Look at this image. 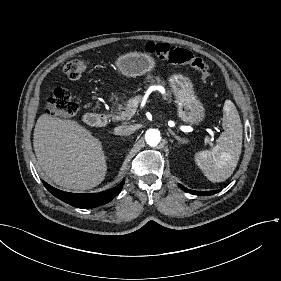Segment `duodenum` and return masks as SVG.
I'll list each match as a JSON object with an SVG mask.
<instances>
[{"mask_svg":"<svg viewBox=\"0 0 281 281\" xmlns=\"http://www.w3.org/2000/svg\"><path fill=\"white\" fill-rule=\"evenodd\" d=\"M83 120L86 124L90 126H100L106 122L105 117L91 112L85 113L83 116Z\"/></svg>","mask_w":281,"mask_h":281,"instance_id":"1","label":"duodenum"}]
</instances>
